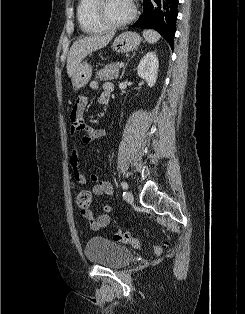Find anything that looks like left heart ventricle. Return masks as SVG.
Masks as SVG:
<instances>
[{"label":"left heart ventricle","instance_id":"obj_1","mask_svg":"<svg viewBox=\"0 0 245 314\" xmlns=\"http://www.w3.org/2000/svg\"><path fill=\"white\" fill-rule=\"evenodd\" d=\"M132 12L131 0H105L104 15L111 22H121Z\"/></svg>","mask_w":245,"mask_h":314}]
</instances>
